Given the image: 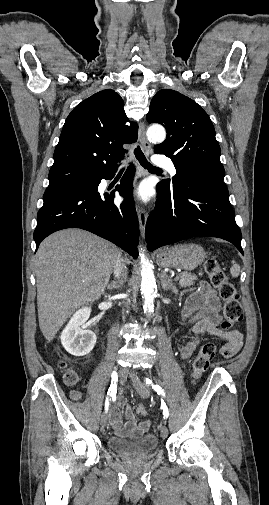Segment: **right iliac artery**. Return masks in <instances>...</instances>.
<instances>
[{"label":"right iliac artery","mask_w":269,"mask_h":505,"mask_svg":"<svg viewBox=\"0 0 269 505\" xmlns=\"http://www.w3.org/2000/svg\"><path fill=\"white\" fill-rule=\"evenodd\" d=\"M111 377H112L111 385H110V388L108 389L107 397L105 400V412L106 413L108 412L109 401L111 400V397L113 398L114 396H116V393H117L118 375L115 371H113L111 374Z\"/></svg>","instance_id":"right-iliac-artery-1"}]
</instances>
